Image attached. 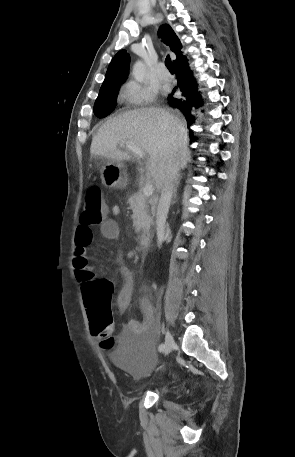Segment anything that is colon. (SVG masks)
I'll list each match as a JSON object with an SVG mask.
<instances>
[{
    "mask_svg": "<svg viewBox=\"0 0 295 457\" xmlns=\"http://www.w3.org/2000/svg\"><path fill=\"white\" fill-rule=\"evenodd\" d=\"M107 213L108 209L101 189L97 186L90 187L80 214L81 226L91 228L102 225L107 218ZM73 264L76 276L83 282V302L92 334L100 339L104 350H112L114 356L121 355V346L114 345L111 340V285L95 278L85 254H76Z\"/></svg>",
    "mask_w": 295,
    "mask_h": 457,
    "instance_id": "colon-1",
    "label": "colon"
}]
</instances>
